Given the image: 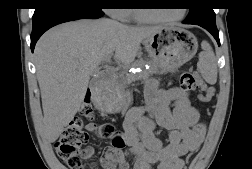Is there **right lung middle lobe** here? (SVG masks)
I'll use <instances>...</instances> for the list:
<instances>
[{
    "label": "right lung middle lobe",
    "instance_id": "1",
    "mask_svg": "<svg viewBox=\"0 0 252 169\" xmlns=\"http://www.w3.org/2000/svg\"><path fill=\"white\" fill-rule=\"evenodd\" d=\"M102 0H75L74 2L85 7L101 11ZM50 0H39V3L36 4L35 11L44 9L49 5Z\"/></svg>",
    "mask_w": 252,
    "mask_h": 169
}]
</instances>
